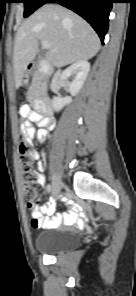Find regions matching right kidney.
<instances>
[{"mask_svg":"<svg viewBox=\"0 0 136 296\" xmlns=\"http://www.w3.org/2000/svg\"><path fill=\"white\" fill-rule=\"evenodd\" d=\"M89 71L90 63L86 60H81L72 64L70 67L62 72L61 80L68 87L71 96L54 97L52 103L55 111H60L64 106L72 102V96L78 94L88 76ZM71 77H74V79L72 82H69L68 79Z\"/></svg>","mask_w":136,"mask_h":296,"instance_id":"1","label":"right kidney"}]
</instances>
